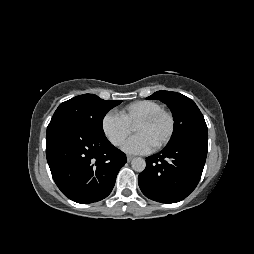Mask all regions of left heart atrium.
I'll list each match as a JSON object with an SVG mask.
<instances>
[{
    "instance_id": "1",
    "label": "left heart atrium",
    "mask_w": 254,
    "mask_h": 254,
    "mask_svg": "<svg viewBox=\"0 0 254 254\" xmlns=\"http://www.w3.org/2000/svg\"><path fill=\"white\" fill-rule=\"evenodd\" d=\"M154 148L147 137L141 134L129 138L123 145V150L130 154H143Z\"/></svg>"
}]
</instances>
